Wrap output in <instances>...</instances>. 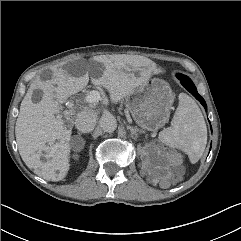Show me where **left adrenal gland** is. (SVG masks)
<instances>
[{
    "mask_svg": "<svg viewBox=\"0 0 241 241\" xmlns=\"http://www.w3.org/2000/svg\"><path fill=\"white\" fill-rule=\"evenodd\" d=\"M127 129H129L131 131L132 136H134V139L137 138V132H139V130L137 128H134L132 126H127Z\"/></svg>",
    "mask_w": 241,
    "mask_h": 241,
    "instance_id": "a2214340",
    "label": "left adrenal gland"
}]
</instances>
